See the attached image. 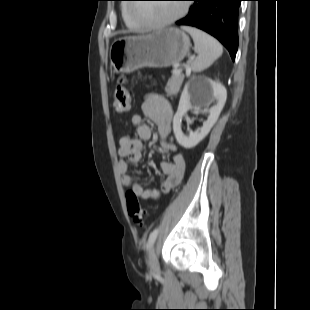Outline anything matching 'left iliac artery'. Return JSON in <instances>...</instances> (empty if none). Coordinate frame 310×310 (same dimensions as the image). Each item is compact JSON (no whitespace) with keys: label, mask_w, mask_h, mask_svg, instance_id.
I'll use <instances>...</instances> for the list:
<instances>
[{"label":"left iliac artery","mask_w":310,"mask_h":310,"mask_svg":"<svg viewBox=\"0 0 310 310\" xmlns=\"http://www.w3.org/2000/svg\"><path fill=\"white\" fill-rule=\"evenodd\" d=\"M158 232H159V229L158 228H155L149 235V238H148V242H147V249H149L153 243L155 242L156 240V237L158 235Z\"/></svg>","instance_id":"44dca946"}]
</instances>
